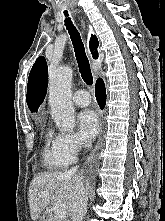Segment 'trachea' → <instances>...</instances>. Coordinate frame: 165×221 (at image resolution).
I'll list each match as a JSON object with an SVG mask.
<instances>
[{
  "label": "trachea",
  "mask_w": 165,
  "mask_h": 221,
  "mask_svg": "<svg viewBox=\"0 0 165 221\" xmlns=\"http://www.w3.org/2000/svg\"><path fill=\"white\" fill-rule=\"evenodd\" d=\"M65 16H68V12L64 11ZM65 26L69 32L72 44L74 46L75 56L78 62L79 71L81 73L83 81L88 84H93V76L90 69L89 60L87 58L84 44L81 40L80 33L77 31L76 27L72 24L70 18L65 19Z\"/></svg>",
  "instance_id": "trachea-1"
}]
</instances>
